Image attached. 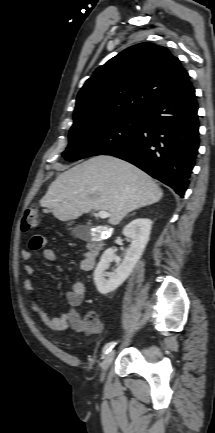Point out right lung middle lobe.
<instances>
[{
  "mask_svg": "<svg viewBox=\"0 0 215 433\" xmlns=\"http://www.w3.org/2000/svg\"><path fill=\"white\" fill-rule=\"evenodd\" d=\"M142 121L143 115H129L73 124L69 145L62 155L68 161H75L124 146L137 137Z\"/></svg>",
  "mask_w": 215,
  "mask_h": 433,
  "instance_id": "obj_1",
  "label": "right lung middle lobe"
}]
</instances>
